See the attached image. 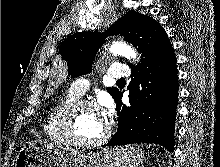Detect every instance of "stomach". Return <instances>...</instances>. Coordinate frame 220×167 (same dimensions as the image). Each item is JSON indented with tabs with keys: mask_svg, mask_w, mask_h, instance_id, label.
<instances>
[{
	"mask_svg": "<svg viewBox=\"0 0 220 167\" xmlns=\"http://www.w3.org/2000/svg\"><path fill=\"white\" fill-rule=\"evenodd\" d=\"M144 153L137 146L108 148L96 153L30 142L20 149L14 167H137Z\"/></svg>",
	"mask_w": 220,
	"mask_h": 167,
	"instance_id": "obj_1",
	"label": "stomach"
}]
</instances>
